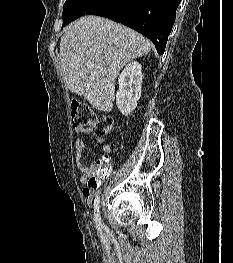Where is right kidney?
Here are the masks:
<instances>
[{
    "label": "right kidney",
    "instance_id": "ca27d5eb",
    "mask_svg": "<svg viewBox=\"0 0 233 263\" xmlns=\"http://www.w3.org/2000/svg\"><path fill=\"white\" fill-rule=\"evenodd\" d=\"M142 80V66L137 61L128 63L119 75L116 104L123 115L128 116L136 108L141 97Z\"/></svg>",
    "mask_w": 233,
    "mask_h": 263
}]
</instances>
